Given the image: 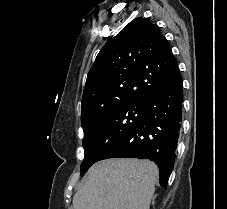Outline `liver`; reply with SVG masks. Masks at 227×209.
<instances>
[{"instance_id": "1", "label": "liver", "mask_w": 227, "mask_h": 209, "mask_svg": "<svg viewBox=\"0 0 227 209\" xmlns=\"http://www.w3.org/2000/svg\"><path fill=\"white\" fill-rule=\"evenodd\" d=\"M159 171L152 161L106 159L92 165L73 209H150Z\"/></svg>"}]
</instances>
